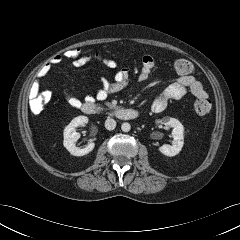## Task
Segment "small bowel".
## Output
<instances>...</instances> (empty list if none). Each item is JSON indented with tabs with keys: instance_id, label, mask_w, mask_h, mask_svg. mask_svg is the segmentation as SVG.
<instances>
[{
	"instance_id": "obj_1",
	"label": "small bowel",
	"mask_w": 240,
	"mask_h": 240,
	"mask_svg": "<svg viewBox=\"0 0 240 240\" xmlns=\"http://www.w3.org/2000/svg\"><path fill=\"white\" fill-rule=\"evenodd\" d=\"M62 54H57L53 56L47 63H45L37 72L36 79L33 82L29 95L31 97L38 96L40 83L45 80L52 67L62 62L63 60ZM90 61H98L102 63L104 66L114 69L117 67V62L113 59L103 57L98 52H92L86 54L84 58V64ZM83 64V65H84ZM155 66V60L150 55H145L142 59V68L138 76V80L140 82H145L149 79L152 70ZM129 80V71L127 68H121L114 72L113 79L109 80L107 78L102 77L100 80V86L96 91L95 97L92 95L86 96V102H92L94 99L103 100L109 94L115 93L123 89ZM188 92L194 95L197 99H208V94L204 89L203 85L195 79L190 74H181L173 83L168 85L165 89H163L160 94L154 99L151 105V110L154 113L163 112L169 101L179 100L184 97ZM63 93L66 97L67 102L74 108H82V102L71 94L68 89L63 88Z\"/></svg>"
}]
</instances>
